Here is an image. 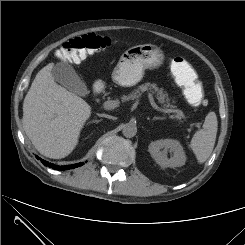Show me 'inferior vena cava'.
<instances>
[{
	"mask_svg": "<svg viewBox=\"0 0 245 245\" xmlns=\"http://www.w3.org/2000/svg\"><path fill=\"white\" fill-rule=\"evenodd\" d=\"M98 116L100 117H105V118H109V119H115V117L107 115V114H98Z\"/></svg>",
	"mask_w": 245,
	"mask_h": 245,
	"instance_id": "inferior-vena-cava-1",
	"label": "inferior vena cava"
}]
</instances>
